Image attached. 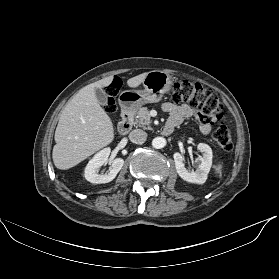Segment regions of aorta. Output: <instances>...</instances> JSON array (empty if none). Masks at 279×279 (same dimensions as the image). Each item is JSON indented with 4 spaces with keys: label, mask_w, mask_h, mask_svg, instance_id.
<instances>
[{
    "label": "aorta",
    "mask_w": 279,
    "mask_h": 279,
    "mask_svg": "<svg viewBox=\"0 0 279 279\" xmlns=\"http://www.w3.org/2000/svg\"><path fill=\"white\" fill-rule=\"evenodd\" d=\"M152 146L156 149H161L166 146V139L163 137H155L152 140Z\"/></svg>",
    "instance_id": "762f6f07"
}]
</instances>
